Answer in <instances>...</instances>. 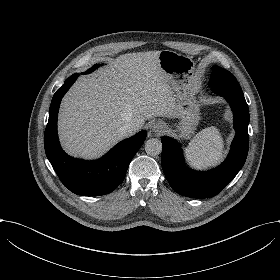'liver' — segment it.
Returning <instances> with one entry per match:
<instances>
[{
  "label": "liver",
  "instance_id": "obj_1",
  "mask_svg": "<svg viewBox=\"0 0 280 280\" xmlns=\"http://www.w3.org/2000/svg\"><path fill=\"white\" fill-rule=\"evenodd\" d=\"M160 51L127 53L81 76L63 98L58 132L74 157L98 158L120 139L127 123L140 129L154 117L176 118V98L159 67Z\"/></svg>",
  "mask_w": 280,
  "mask_h": 280
}]
</instances>
